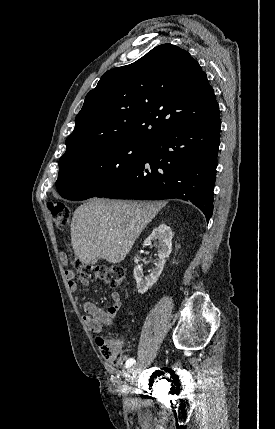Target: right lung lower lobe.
Segmentation results:
<instances>
[{"label":"right lung lower lobe","mask_w":275,"mask_h":429,"mask_svg":"<svg viewBox=\"0 0 275 429\" xmlns=\"http://www.w3.org/2000/svg\"><path fill=\"white\" fill-rule=\"evenodd\" d=\"M221 122L219 114L204 122L167 132L148 144L145 157L96 197L194 203L209 221Z\"/></svg>","instance_id":"right-lung-lower-lobe-1"}]
</instances>
